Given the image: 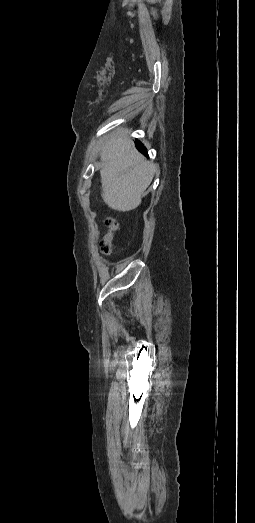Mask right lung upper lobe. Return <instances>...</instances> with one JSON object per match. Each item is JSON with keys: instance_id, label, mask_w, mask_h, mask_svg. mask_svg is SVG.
<instances>
[{"instance_id": "obj_1", "label": "right lung upper lobe", "mask_w": 255, "mask_h": 523, "mask_svg": "<svg viewBox=\"0 0 255 523\" xmlns=\"http://www.w3.org/2000/svg\"><path fill=\"white\" fill-rule=\"evenodd\" d=\"M139 148L142 150L143 153H146V149L143 146H140Z\"/></svg>"}]
</instances>
